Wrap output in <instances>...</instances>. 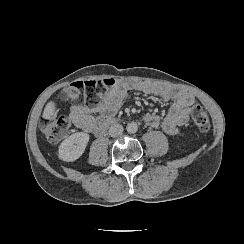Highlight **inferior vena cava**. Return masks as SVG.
Instances as JSON below:
<instances>
[{"instance_id": "1", "label": "inferior vena cava", "mask_w": 244, "mask_h": 244, "mask_svg": "<svg viewBox=\"0 0 244 244\" xmlns=\"http://www.w3.org/2000/svg\"><path fill=\"white\" fill-rule=\"evenodd\" d=\"M123 132V126L120 124H113L109 128V134L111 137H117Z\"/></svg>"}]
</instances>
